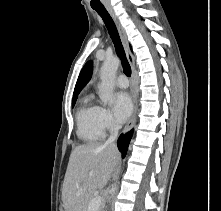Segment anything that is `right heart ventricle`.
I'll return each mask as SVG.
<instances>
[{
    "instance_id": "e07e8e85",
    "label": "right heart ventricle",
    "mask_w": 221,
    "mask_h": 211,
    "mask_svg": "<svg viewBox=\"0 0 221 211\" xmlns=\"http://www.w3.org/2000/svg\"><path fill=\"white\" fill-rule=\"evenodd\" d=\"M97 107L89 96H85L76 112L77 135L88 143L99 141L103 137L97 125Z\"/></svg>"
}]
</instances>
